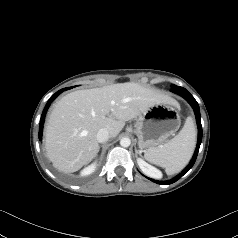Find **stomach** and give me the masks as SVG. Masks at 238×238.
Masks as SVG:
<instances>
[{"label":"stomach","mask_w":238,"mask_h":238,"mask_svg":"<svg viewBox=\"0 0 238 238\" xmlns=\"http://www.w3.org/2000/svg\"><path fill=\"white\" fill-rule=\"evenodd\" d=\"M176 105L157 103L143 111L136 122L140 148H153L165 143L180 127Z\"/></svg>","instance_id":"0dacf381"}]
</instances>
